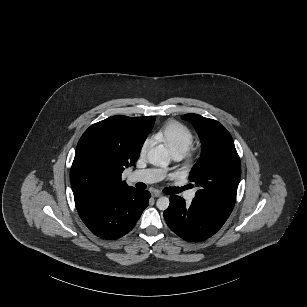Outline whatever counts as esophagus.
Listing matches in <instances>:
<instances>
[{
  "instance_id": "34e87169",
  "label": "esophagus",
  "mask_w": 307,
  "mask_h": 307,
  "mask_svg": "<svg viewBox=\"0 0 307 307\" xmlns=\"http://www.w3.org/2000/svg\"><path fill=\"white\" fill-rule=\"evenodd\" d=\"M153 197H155V198H158V197H160V196H162V194L159 192V191H153L152 192V194H151Z\"/></svg>"
}]
</instances>
